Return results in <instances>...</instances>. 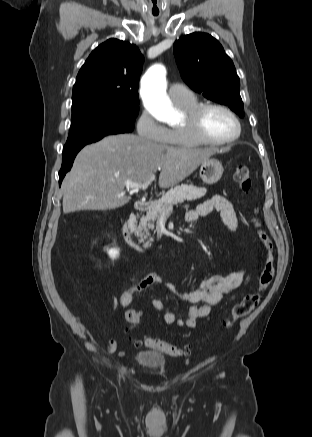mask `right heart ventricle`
<instances>
[{
	"mask_svg": "<svg viewBox=\"0 0 312 437\" xmlns=\"http://www.w3.org/2000/svg\"><path fill=\"white\" fill-rule=\"evenodd\" d=\"M175 105L186 113L198 106L199 102L197 98L192 95L189 100L175 103ZM165 144L182 148H191L199 145V143L194 141L181 126L169 130V136Z\"/></svg>",
	"mask_w": 312,
	"mask_h": 437,
	"instance_id": "right-heart-ventricle-1",
	"label": "right heart ventricle"
}]
</instances>
